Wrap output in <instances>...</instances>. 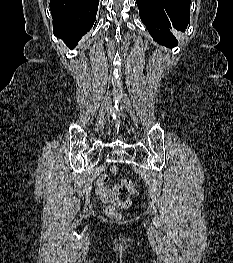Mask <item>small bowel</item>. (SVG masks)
<instances>
[{
    "instance_id": "c3829d8e",
    "label": "small bowel",
    "mask_w": 233,
    "mask_h": 263,
    "mask_svg": "<svg viewBox=\"0 0 233 263\" xmlns=\"http://www.w3.org/2000/svg\"><path fill=\"white\" fill-rule=\"evenodd\" d=\"M108 181V175L99 176L97 179L96 194L102 203L108 206H119L122 203L118 197L121 187L119 185L107 186Z\"/></svg>"
}]
</instances>
